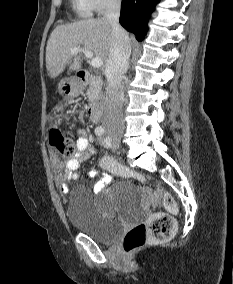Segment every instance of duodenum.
<instances>
[{"instance_id": "duodenum-1", "label": "duodenum", "mask_w": 233, "mask_h": 284, "mask_svg": "<svg viewBox=\"0 0 233 284\" xmlns=\"http://www.w3.org/2000/svg\"><path fill=\"white\" fill-rule=\"evenodd\" d=\"M77 79L81 85L87 84L89 81H92L95 86L100 87L103 84V78L100 76H91L85 70H79L77 72ZM88 116L90 120L95 123L99 124L103 118V105L100 101H96L88 109Z\"/></svg>"}]
</instances>
